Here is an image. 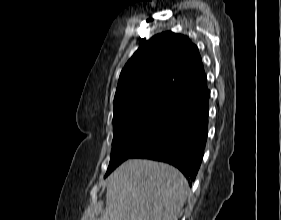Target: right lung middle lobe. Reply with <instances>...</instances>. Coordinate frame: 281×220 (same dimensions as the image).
<instances>
[{
	"label": "right lung middle lobe",
	"mask_w": 281,
	"mask_h": 220,
	"mask_svg": "<svg viewBox=\"0 0 281 220\" xmlns=\"http://www.w3.org/2000/svg\"><path fill=\"white\" fill-rule=\"evenodd\" d=\"M168 118L162 114H143L113 121L112 152L105 177L142 147Z\"/></svg>",
	"instance_id": "dd1d6c3e"
}]
</instances>
